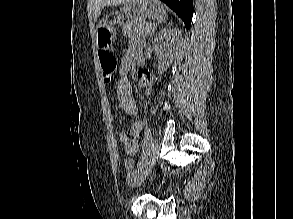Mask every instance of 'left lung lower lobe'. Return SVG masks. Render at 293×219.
<instances>
[{
	"instance_id": "0a47b994",
	"label": "left lung lower lobe",
	"mask_w": 293,
	"mask_h": 219,
	"mask_svg": "<svg viewBox=\"0 0 293 219\" xmlns=\"http://www.w3.org/2000/svg\"><path fill=\"white\" fill-rule=\"evenodd\" d=\"M184 21L189 29L193 16V0H161Z\"/></svg>"
}]
</instances>
